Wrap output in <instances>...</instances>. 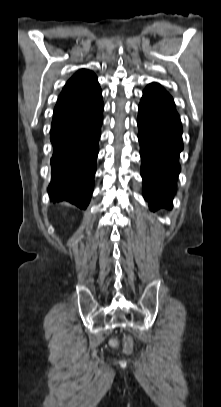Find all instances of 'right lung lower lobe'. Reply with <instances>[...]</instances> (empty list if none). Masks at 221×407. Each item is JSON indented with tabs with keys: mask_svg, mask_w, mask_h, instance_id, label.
I'll list each match as a JSON object with an SVG mask.
<instances>
[{
	"mask_svg": "<svg viewBox=\"0 0 221 407\" xmlns=\"http://www.w3.org/2000/svg\"><path fill=\"white\" fill-rule=\"evenodd\" d=\"M100 86L57 101L50 140L51 201H68L81 209L89 204L94 186L98 142L103 121Z\"/></svg>",
	"mask_w": 221,
	"mask_h": 407,
	"instance_id": "right-lung-lower-lobe-1",
	"label": "right lung lower lobe"
}]
</instances>
